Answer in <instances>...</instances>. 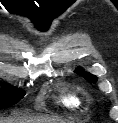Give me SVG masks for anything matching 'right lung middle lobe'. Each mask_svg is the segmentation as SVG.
Wrapping results in <instances>:
<instances>
[{
  "label": "right lung middle lobe",
  "mask_w": 118,
  "mask_h": 123,
  "mask_svg": "<svg viewBox=\"0 0 118 123\" xmlns=\"http://www.w3.org/2000/svg\"><path fill=\"white\" fill-rule=\"evenodd\" d=\"M24 95L25 92L23 90L4 85L0 89V109L18 103Z\"/></svg>",
  "instance_id": "dd1d6c3e"
}]
</instances>
